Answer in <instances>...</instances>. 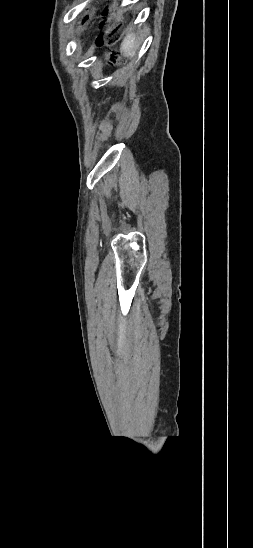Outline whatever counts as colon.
Wrapping results in <instances>:
<instances>
[{
	"mask_svg": "<svg viewBox=\"0 0 253 548\" xmlns=\"http://www.w3.org/2000/svg\"><path fill=\"white\" fill-rule=\"evenodd\" d=\"M119 34L116 28L107 30L98 40V44L103 47L111 48L118 40ZM109 58L111 62H115L117 55L115 52L111 51L109 53Z\"/></svg>",
	"mask_w": 253,
	"mask_h": 548,
	"instance_id": "5ec220e1",
	"label": "colon"
}]
</instances>
